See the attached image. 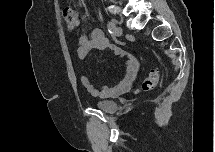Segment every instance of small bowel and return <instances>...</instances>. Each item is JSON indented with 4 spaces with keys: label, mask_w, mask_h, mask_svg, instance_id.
<instances>
[{
    "label": "small bowel",
    "mask_w": 215,
    "mask_h": 152,
    "mask_svg": "<svg viewBox=\"0 0 215 152\" xmlns=\"http://www.w3.org/2000/svg\"><path fill=\"white\" fill-rule=\"evenodd\" d=\"M86 21V17L83 16ZM92 49L110 50L126 64L123 78L119 83L112 87L96 88L91 84L88 77L81 75L80 81L82 86L93 96L103 98L118 97L127 93L132 87L138 71V61L130 52L110 43L101 29H94L90 36L82 35L79 38L77 55L78 58L85 59Z\"/></svg>",
    "instance_id": "1"
}]
</instances>
